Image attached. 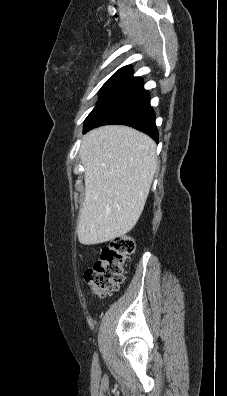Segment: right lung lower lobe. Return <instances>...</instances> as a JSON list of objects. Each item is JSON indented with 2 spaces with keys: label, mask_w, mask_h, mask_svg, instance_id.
I'll return each mask as SVG.
<instances>
[{
  "label": "right lung lower lobe",
  "mask_w": 227,
  "mask_h": 396,
  "mask_svg": "<svg viewBox=\"0 0 227 396\" xmlns=\"http://www.w3.org/2000/svg\"><path fill=\"white\" fill-rule=\"evenodd\" d=\"M110 124L133 127L158 143L155 114L150 106L149 92L143 88L141 78L131 76L95 108L85 120L84 133Z\"/></svg>",
  "instance_id": "right-lung-lower-lobe-1"
}]
</instances>
